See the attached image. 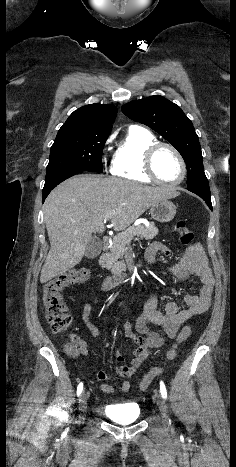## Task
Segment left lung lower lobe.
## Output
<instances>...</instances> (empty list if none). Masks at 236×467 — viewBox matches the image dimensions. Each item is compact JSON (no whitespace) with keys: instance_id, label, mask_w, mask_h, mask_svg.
<instances>
[{"instance_id":"left-lung-lower-lobe-1","label":"left lung lower lobe","mask_w":236,"mask_h":467,"mask_svg":"<svg viewBox=\"0 0 236 467\" xmlns=\"http://www.w3.org/2000/svg\"><path fill=\"white\" fill-rule=\"evenodd\" d=\"M187 190H189V191L197 194L198 196H200L207 203L209 208L212 209L209 184L188 186Z\"/></svg>"}]
</instances>
